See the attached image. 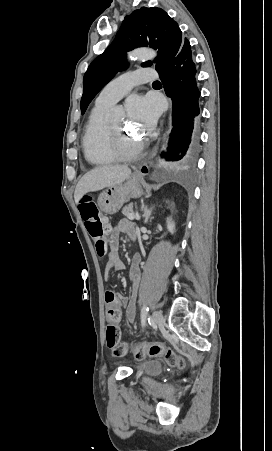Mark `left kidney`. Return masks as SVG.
Listing matches in <instances>:
<instances>
[{"instance_id":"1","label":"left kidney","mask_w":272,"mask_h":451,"mask_svg":"<svg viewBox=\"0 0 272 451\" xmlns=\"http://www.w3.org/2000/svg\"><path fill=\"white\" fill-rule=\"evenodd\" d=\"M166 222H167V229H169V231H171V233H174L175 222H173L172 218H167Z\"/></svg>"}]
</instances>
